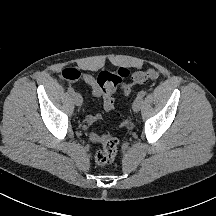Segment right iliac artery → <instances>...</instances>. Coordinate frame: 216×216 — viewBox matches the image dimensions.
Here are the masks:
<instances>
[{
    "instance_id": "obj_1",
    "label": "right iliac artery",
    "mask_w": 216,
    "mask_h": 216,
    "mask_svg": "<svg viewBox=\"0 0 216 216\" xmlns=\"http://www.w3.org/2000/svg\"><path fill=\"white\" fill-rule=\"evenodd\" d=\"M68 92H69L70 94H74V89H73L72 87H69V88H68Z\"/></svg>"
}]
</instances>
